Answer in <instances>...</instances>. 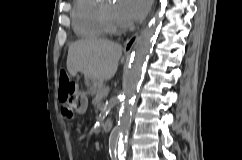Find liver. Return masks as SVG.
<instances>
[{"instance_id":"1","label":"liver","mask_w":242,"mask_h":160,"mask_svg":"<svg viewBox=\"0 0 242 160\" xmlns=\"http://www.w3.org/2000/svg\"><path fill=\"white\" fill-rule=\"evenodd\" d=\"M122 55V46L103 39H82L72 43L68 49L67 69L71 76L77 72L85 78L103 82L111 79Z\"/></svg>"}]
</instances>
